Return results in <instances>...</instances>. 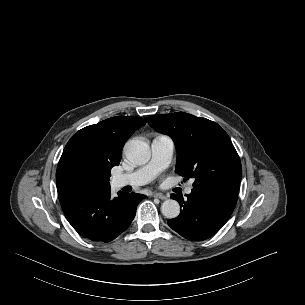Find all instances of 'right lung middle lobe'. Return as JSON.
I'll list each match as a JSON object with an SVG mask.
<instances>
[{
	"label": "right lung middle lobe",
	"mask_w": 305,
	"mask_h": 305,
	"mask_svg": "<svg viewBox=\"0 0 305 305\" xmlns=\"http://www.w3.org/2000/svg\"><path fill=\"white\" fill-rule=\"evenodd\" d=\"M73 172L79 180L95 184V187L108 186L110 169L98 161L89 158H80L76 161Z\"/></svg>",
	"instance_id": "dd1d6c3e"
}]
</instances>
